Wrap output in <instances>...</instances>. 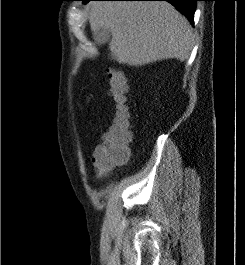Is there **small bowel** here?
I'll return each instance as SVG.
<instances>
[{
  "label": "small bowel",
  "instance_id": "c3829d8e",
  "mask_svg": "<svg viewBox=\"0 0 245 265\" xmlns=\"http://www.w3.org/2000/svg\"><path fill=\"white\" fill-rule=\"evenodd\" d=\"M93 164H94L95 168L97 169V171H98V173H99L100 175H103V174H105V173L107 172V170H105V169H101V168H99V167L96 165V163H95V159H94V155H93Z\"/></svg>",
  "mask_w": 245,
  "mask_h": 265
}]
</instances>
